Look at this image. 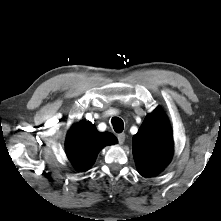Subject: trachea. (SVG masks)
Masks as SVG:
<instances>
[{
  "label": "trachea",
  "mask_w": 221,
  "mask_h": 221,
  "mask_svg": "<svg viewBox=\"0 0 221 221\" xmlns=\"http://www.w3.org/2000/svg\"><path fill=\"white\" fill-rule=\"evenodd\" d=\"M111 123L113 125V129L115 130L116 133H121L124 129V123L122 119L118 117H113L111 120Z\"/></svg>",
  "instance_id": "obj_1"
}]
</instances>
